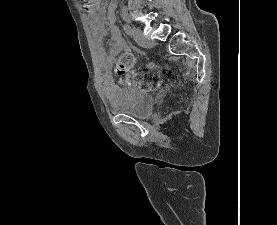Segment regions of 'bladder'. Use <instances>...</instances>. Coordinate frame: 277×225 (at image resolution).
<instances>
[{
	"label": "bladder",
	"instance_id": "obj_1",
	"mask_svg": "<svg viewBox=\"0 0 277 225\" xmlns=\"http://www.w3.org/2000/svg\"><path fill=\"white\" fill-rule=\"evenodd\" d=\"M154 107L153 96L142 90H122L119 98L112 105L111 111L116 114H125L137 119L148 117Z\"/></svg>",
	"mask_w": 277,
	"mask_h": 225
}]
</instances>
